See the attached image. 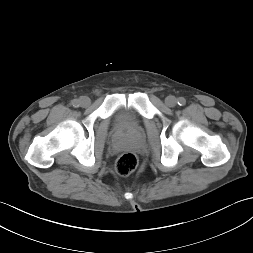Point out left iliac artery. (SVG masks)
I'll return each mask as SVG.
<instances>
[{"mask_svg":"<svg viewBox=\"0 0 253 253\" xmlns=\"http://www.w3.org/2000/svg\"><path fill=\"white\" fill-rule=\"evenodd\" d=\"M178 105L184 106L186 104V100L183 97H179L178 100Z\"/></svg>","mask_w":253,"mask_h":253,"instance_id":"obj_1","label":"left iliac artery"}]
</instances>
